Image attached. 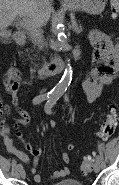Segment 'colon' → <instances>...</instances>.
<instances>
[{
    "label": "colon",
    "mask_w": 119,
    "mask_h": 185,
    "mask_svg": "<svg viewBox=\"0 0 119 185\" xmlns=\"http://www.w3.org/2000/svg\"><path fill=\"white\" fill-rule=\"evenodd\" d=\"M111 12L112 17L116 18L119 14V0H111ZM118 125L117 107L115 104H111L109 113L101 126V137L108 139L115 133ZM93 166V158L87 156L83 159L80 169L82 173H89Z\"/></svg>",
    "instance_id": "colon-1"
}]
</instances>
